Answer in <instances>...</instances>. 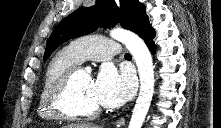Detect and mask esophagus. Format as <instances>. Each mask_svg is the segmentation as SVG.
<instances>
[{
    "label": "esophagus",
    "mask_w": 221,
    "mask_h": 128,
    "mask_svg": "<svg viewBox=\"0 0 221 128\" xmlns=\"http://www.w3.org/2000/svg\"><path fill=\"white\" fill-rule=\"evenodd\" d=\"M125 124V119L123 117L119 118L117 121H116V126L117 127H121Z\"/></svg>",
    "instance_id": "obj_1"
}]
</instances>
